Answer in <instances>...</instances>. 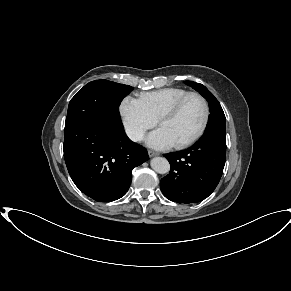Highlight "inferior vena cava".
Listing matches in <instances>:
<instances>
[{
	"instance_id": "obj_1",
	"label": "inferior vena cava",
	"mask_w": 291,
	"mask_h": 291,
	"mask_svg": "<svg viewBox=\"0 0 291 291\" xmlns=\"http://www.w3.org/2000/svg\"><path fill=\"white\" fill-rule=\"evenodd\" d=\"M126 133L132 141H140L143 139V132L139 129L128 128L126 130Z\"/></svg>"
}]
</instances>
